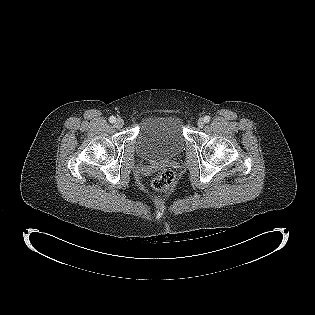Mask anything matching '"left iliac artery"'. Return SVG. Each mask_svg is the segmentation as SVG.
I'll return each instance as SVG.
<instances>
[{"label":"left iliac artery","instance_id":"obj_1","mask_svg":"<svg viewBox=\"0 0 315 315\" xmlns=\"http://www.w3.org/2000/svg\"><path fill=\"white\" fill-rule=\"evenodd\" d=\"M204 121H205L206 123H209V122H210V116H205V117H204Z\"/></svg>","mask_w":315,"mask_h":315}]
</instances>
